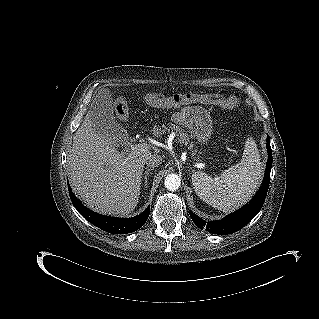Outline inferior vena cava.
Instances as JSON below:
<instances>
[{
	"mask_svg": "<svg viewBox=\"0 0 319 319\" xmlns=\"http://www.w3.org/2000/svg\"><path fill=\"white\" fill-rule=\"evenodd\" d=\"M162 164V157L154 154L150 155L146 160V165L150 168L159 167Z\"/></svg>",
	"mask_w": 319,
	"mask_h": 319,
	"instance_id": "602c4592",
	"label": "inferior vena cava"
}]
</instances>
